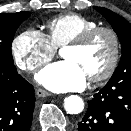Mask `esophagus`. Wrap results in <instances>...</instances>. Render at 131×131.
<instances>
[{
	"label": "esophagus",
	"instance_id": "esophagus-1",
	"mask_svg": "<svg viewBox=\"0 0 131 131\" xmlns=\"http://www.w3.org/2000/svg\"><path fill=\"white\" fill-rule=\"evenodd\" d=\"M36 95L38 97H47V96H50L51 94L48 91H46L42 88H39L36 90Z\"/></svg>",
	"mask_w": 131,
	"mask_h": 131
}]
</instances>
